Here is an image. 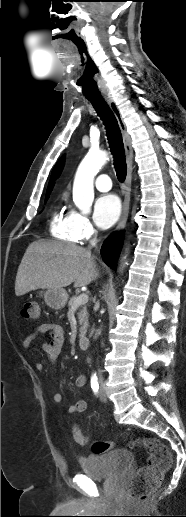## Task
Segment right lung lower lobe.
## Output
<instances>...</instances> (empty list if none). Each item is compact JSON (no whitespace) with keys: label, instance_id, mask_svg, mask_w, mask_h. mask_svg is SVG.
Here are the masks:
<instances>
[{"label":"right lung lower lobe","instance_id":"98d812e1","mask_svg":"<svg viewBox=\"0 0 186 517\" xmlns=\"http://www.w3.org/2000/svg\"><path fill=\"white\" fill-rule=\"evenodd\" d=\"M122 240V234L114 233L104 242L101 248V255L104 262L112 269L116 266V259L120 254Z\"/></svg>","mask_w":186,"mask_h":517}]
</instances>
